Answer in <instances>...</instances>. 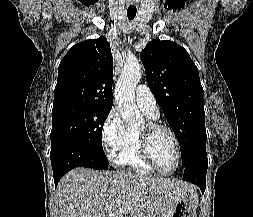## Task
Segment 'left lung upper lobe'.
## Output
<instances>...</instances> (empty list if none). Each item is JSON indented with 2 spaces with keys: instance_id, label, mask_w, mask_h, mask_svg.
Segmentation results:
<instances>
[{
  "instance_id": "5c2ea615",
  "label": "left lung upper lobe",
  "mask_w": 253,
  "mask_h": 217,
  "mask_svg": "<svg viewBox=\"0 0 253 217\" xmlns=\"http://www.w3.org/2000/svg\"><path fill=\"white\" fill-rule=\"evenodd\" d=\"M146 80L180 145L182 166L206 153L203 88L188 52L169 40H152L140 53Z\"/></svg>"
}]
</instances>
